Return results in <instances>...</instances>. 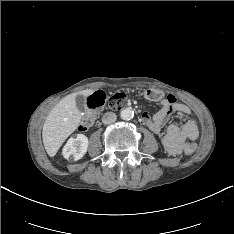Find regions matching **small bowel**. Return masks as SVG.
Segmentation results:
<instances>
[{"label": "small bowel", "mask_w": 234, "mask_h": 234, "mask_svg": "<svg viewBox=\"0 0 234 234\" xmlns=\"http://www.w3.org/2000/svg\"><path fill=\"white\" fill-rule=\"evenodd\" d=\"M161 109L151 116L149 112L142 115L143 123L154 133L159 134L171 113H176L180 120L185 119L190 113L189 107L176 100L173 95H168L161 100ZM198 125L196 121H186L182 126L169 124L166 127L162 142L165 150L171 155L180 154L187 145V142L195 141L198 138Z\"/></svg>", "instance_id": "1"}]
</instances>
